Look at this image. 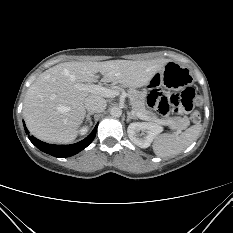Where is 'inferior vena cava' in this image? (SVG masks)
<instances>
[{"instance_id": "1", "label": "inferior vena cava", "mask_w": 233, "mask_h": 233, "mask_svg": "<svg viewBox=\"0 0 233 233\" xmlns=\"http://www.w3.org/2000/svg\"><path fill=\"white\" fill-rule=\"evenodd\" d=\"M85 108L89 113L102 112L106 109L105 99L98 96H89L85 99Z\"/></svg>"}]
</instances>
